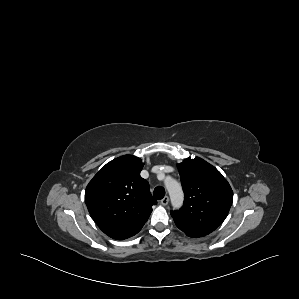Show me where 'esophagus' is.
<instances>
[{
  "mask_svg": "<svg viewBox=\"0 0 299 299\" xmlns=\"http://www.w3.org/2000/svg\"><path fill=\"white\" fill-rule=\"evenodd\" d=\"M160 203L164 206H166L168 203H169V197L168 196H165L161 201Z\"/></svg>",
  "mask_w": 299,
  "mask_h": 299,
  "instance_id": "34e87169",
  "label": "esophagus"
}]
</instances>
